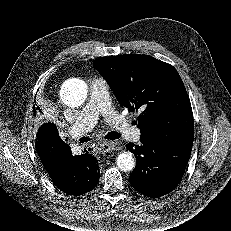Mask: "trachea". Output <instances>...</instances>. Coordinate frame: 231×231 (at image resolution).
<instances>
[{
	"label": "trachea",
	"instance_id": "1",
	"mask_svg": "<svg viewBox=\"0 0 231 231\" xmlns=\"http://www.w3.org/2000/svg\"><path fill=\"white\" fill-rule=\"evenodd\" d=\"M121 137V135L115 131H111L109 133H107V135L105 136V139L108 140H115V139H119ZM88 139V138H85Z\"/></svg>",
	"mask_w": 231,
	"mask_h": 231
}]
</instances>
